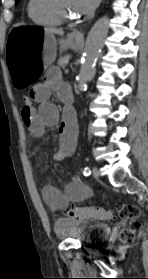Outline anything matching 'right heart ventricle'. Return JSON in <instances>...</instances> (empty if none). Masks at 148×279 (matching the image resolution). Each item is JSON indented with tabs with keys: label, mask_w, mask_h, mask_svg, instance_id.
Segmentation results:
<instances>
[{
	"label": "right heart ventricle",
	"mask_w": 148,
	"mask_h": 279,
	"mask_svg": "<svg viewBox=\"0 0 148 279\" xmlns=\"http://www.w3.org/2000/svg\"><path fill=\"white\" fill-rule=\"evenodd\" d=\"M29 18L40 26H57L61 21L49 10L46 0H28Z\"/></svg>",
	"instance_id": "obj_1"
}]
</instances>
